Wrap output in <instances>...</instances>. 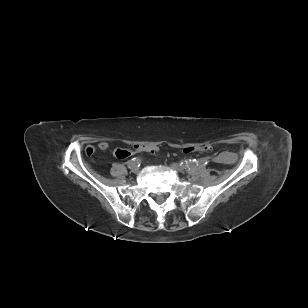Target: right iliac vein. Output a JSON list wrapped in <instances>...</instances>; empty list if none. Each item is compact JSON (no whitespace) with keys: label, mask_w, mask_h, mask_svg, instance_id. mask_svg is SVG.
<instances>
[{"label":"right iliac vein","mask_w":308,"mask_h":308,"mask_svg":"<svg viewBox=\"0 0 308 308\" xmlns=\"http://www.w3.org/2000/svg\"><path fill=\"white\" fill-rule=\"evenodd\" d=\"M132 172L137 174L139 172V168L136 166V167H133L132 168Z\"/></svg>","instance_id":"obj_1"}]
</instances>
